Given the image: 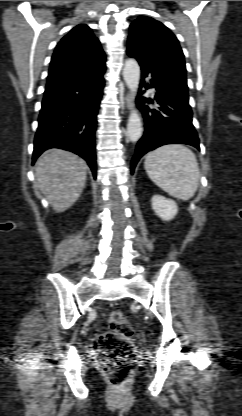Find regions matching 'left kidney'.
<instances>
[{
    "label": "left kidney",
    "mask_w": 242,
    "mask_h": 416,
    "mask_svg": "<svg viewBox=\"0 0 242 416\" xmlns=\"http://www.w3.org/2000/svg\"><path fill=\"white\" fill-rule=\"evenodd\" d=\"M152 208L156 215L165 221L173 219L178 212L176 202L161 195L152 197Z\"/></svg>",
    "instance_id": "obj_1"
}]
</instances>
